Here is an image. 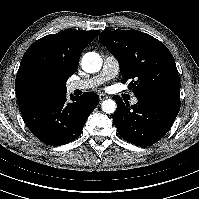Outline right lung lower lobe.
Returning a JSON list of instances; mask_svg holds the SVG:
<instances>
[{"mask_svg":"<svg viewBox=\"0 0 199 199\" xmlns=\"http://www.w3.org/2000/svg\"><path fill=\"white\" fill-rule=\"evenodd\" d=\"M66 94L29 102L19 107L29 130L43 143L60 146L72 142L82 132L89 115L99 103L95 93L71 96Z\"/></svg>","mask_w":199,"mask_h":199,"instance_id":"right-lung-lower-lobe-1","label":"right lung lower lobe"}]
</instances>
